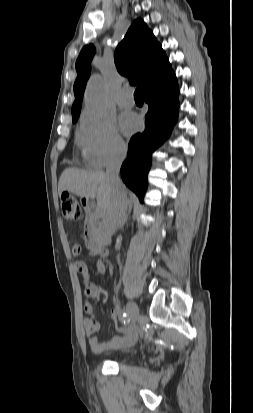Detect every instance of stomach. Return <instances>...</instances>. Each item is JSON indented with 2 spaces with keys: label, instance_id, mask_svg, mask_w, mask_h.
I'll return each instance as SVG.
<instances>
[{
  "label": "stomach",
  "instance_id": "obj_1",
  "mask_svg": "<svg viewBox=\"0 0 253 413\" xmlns=\"http://www.w3.org/2000/svg\"><path fill=\"white\" fill-rule=\"evenodd\" d=\"M87 202H88L87 198L83 199V203H87Z\"/></svg>",
  "mask_w": 253,
  "mask_h": 413
}]
</instances>
